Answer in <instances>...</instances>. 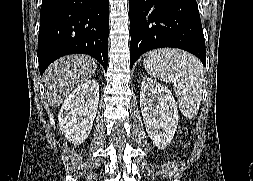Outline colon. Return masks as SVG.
<instances>
[{
    "mask_svg": "<svg viewBox=\"0 0 253 181\" xmlns=\"http://www.w3.org/2000/svg\"><path fill=\"white\" fill-rule=\"evenodd\" d=\"M186 132H187V130L185 128L181 129V133H186Z\"/></svg>",
    "mask_w": 253,
    "mask_h": 181,
    "instance_id": "1",
    "label": "colon"
}]
</instances>
